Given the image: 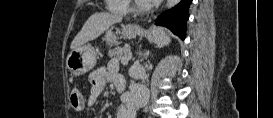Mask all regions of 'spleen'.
Returning a JSON list of instances; mask_svg holds the SVG:
<instances>
[{
  "instance_id": "3e777b00",
  "label": "spleen",
  "mask_w": 273,
  "mask_h": 118,
  "mask_svg": "<svg viewBox=\"0 0 273 118\" xmlns=\"http://www.w3.org/2000/svg\"><path fill=\"white\" fill-rule=\"evenodd\" d=\"M153 38L155 43L160 47L168 45L170 42L169 36L165 33L163 29L160 28L155 29V31L153 32Z\"/></svg>"
}]
</instances>
